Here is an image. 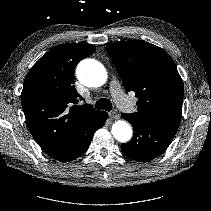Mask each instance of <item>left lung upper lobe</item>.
I'll list each match as a JSON object with an SVG mask.
<instances>
[{
  "label": "left lung upper lobe",
  "instance_id": "left-lung-upper-lobe-1",
  "mask_svg": "<svg viewBox=\"0 0 211 211\" xmlns=\"http://www.w3.org/2000/svg\"><path fill=\"white\" fill-rule=\"evenodd\" d=\"M106 51L125 89L139 98L138 112L129 115L179 125L184 90L172 58L158 46L135 40L109 44Z\"/></svg>",
  "mask_w": 211,
  "mask_h": 211
}]
</instances>
